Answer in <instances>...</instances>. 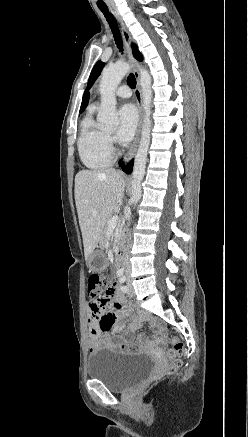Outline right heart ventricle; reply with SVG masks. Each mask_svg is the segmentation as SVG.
I'll list each match as a JSON object with an SVG mask.
<instances>
[{"mask_svg": "<svg viewBox=\"0 0 248 437\" xmlns=\"http://www.w3.org/2000/svg\"><path fill=\"white\" fill-rule=\"evenodd\" d=\"M107 133L91 114L80 124L78 151L82 163L89 169L100 170L112 162L111 150L106 141Z\"/></svg>", "mask_w": 248, "mask_h": 437, "instance_id": "1", "label": "right heart ventricle"}]
</instances>
